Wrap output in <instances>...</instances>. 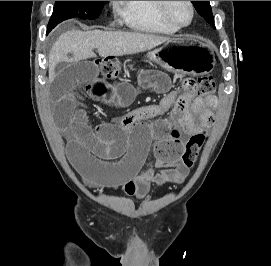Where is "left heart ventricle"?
<instances>
[{
	"mask_svg": "<svg viewBox=\"0 0 271 266\" xmlns=\"http://www.w3.org/2000/svg\"><path fill=\"white\" fill-rule=\"evenodd\" d=\"M169 12L179 24L188 23L191 17V10L186 1H171Z\"/></svg>",
	"mask_w": 271,
	"mask_h": 266,
	"instance_id": "left-heart-ventricle-1",
	"label": "left heart ventricle"
}]
</instances>
